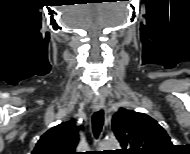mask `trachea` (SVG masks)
<instances>
[{
	"mask_svg": "<svg viewBox=\"0 0 190 154\" xmlns=\"http://www.w3.org/2000/svg\"><path fill=\"white\" fill-rule=\"evenodd\" d=\"M103 121H104V114L102 110H99L94 113L92 118V128H93V134L97 138L102 130L103 127Z\"/></svg>",
	"mask_w": 190,
	"mask_h": 154,
	"instance_id": "3493384b",
	"label": "trachea"
}]
</instances>
